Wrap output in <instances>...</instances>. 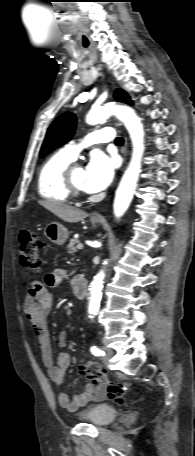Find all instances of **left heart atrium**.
<instances>
[{
    "instance_id": "1",
    "label": "left heart atrium",
    "mask_w": 195,
    "mask_h": 456,
    "mask_svg": "<svg viewBox=\"0 0 195 456\" xmlns=\"http://www.w3.org/2000/svg\"><path fill=\"white\" fill-rule=\"evenodd\" d=\"M115 168L114 159L102 153L94 154L85 168L84 190L94 193L105 189L114 177Z\"/></svg>"
}]
</instances>
